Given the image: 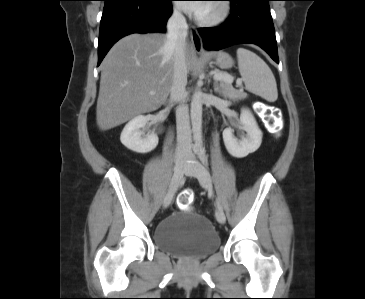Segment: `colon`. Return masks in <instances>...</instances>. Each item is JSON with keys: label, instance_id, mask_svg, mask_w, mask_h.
<instances>
[{"label": "colon", "instance_id": "colon-1", "mask_svg": "<svg viewBox=\"0 0 365 299\" xmlns=\"http://www.w3.org/2000/svg\"><path fill=\"white\" fill-rule=\"evenodd\" d=\"M268 121V129L271 134L278 136L283 129V121L278 114L277 109L273 107H267V113L265 114ZM194 200V194L191 190H183L177 197V205L182 209H187L191 206Z\"/></svg>", "mask_w": 365, "mask_h": 299}]
</instances>
